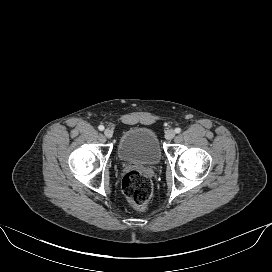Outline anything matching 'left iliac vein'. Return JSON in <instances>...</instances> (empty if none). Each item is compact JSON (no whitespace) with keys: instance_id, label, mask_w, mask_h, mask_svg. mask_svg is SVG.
<instances>
[{"instance_id":"4c4485c4","label":"left iliac vein","mask_w":272,"mask_h":272,"mask_svg":"<svg viewBox=\"0 0 272 272\" xmlns=\"http://www.w3.org/2000/svg\"><path fill=\"white\" fill-rule=\"evenodd\" d=\"M175 137V131L173 129H170L168 130L166 133H165V138L167 140H171Z\"/></svg>"}]
</instances>
